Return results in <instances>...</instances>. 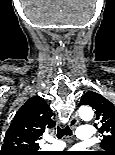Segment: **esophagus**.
Returning a JSON list of instances; mask_svg holds the SVG:
<instances>
[{"mask_svg":"<svg viewBox=\"0 0 115 155\" xmlns=\"http://www.w3.org/2000/svg\"><path fill=\"white\" fill-rule=\"evenodd\" d=\"M79 120H78V117L76 115H73L69 121V126L71 128H75L78 124Z\"/></svg>","mask_w":115,"mask_h":155,"instance_id":"obj_1","label":"esophagus"}]
</instances>
